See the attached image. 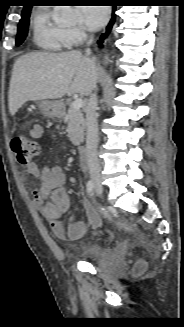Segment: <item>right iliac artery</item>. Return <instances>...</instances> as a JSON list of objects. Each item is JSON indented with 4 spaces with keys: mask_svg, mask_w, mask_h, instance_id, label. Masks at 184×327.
<instances>
[{
    "mask_svg": "<svg viewBox=\"0 0 184 327\" xmlns=\"http://www.w3.org/2000/svg\"><path fill=\"white\" fill-rule=\"evenodd\" d=\"M86 189H87V193H88L91 197H93V195H94V193H93V191H94V182H93L92 180H89V181L87 182V184H86ZM101 210L104 211L103 208H101ZM105 214H106V213H105Z\"/></svg>",
    "mask_w": 184,
    "mask_h": 327,
    "instance_id": "obj_1",
    "label": "right iliac artery"
}]
</instances>
